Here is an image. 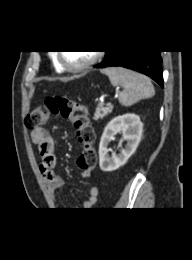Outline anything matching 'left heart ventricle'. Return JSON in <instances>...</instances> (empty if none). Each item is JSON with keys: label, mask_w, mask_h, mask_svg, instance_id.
Here are the masks:
<instances>
[{"label": "left heart ventricle", "mask_w": 192, "mask_h": 260, "mask_svg": "<svg viewBox=\"0 0 192 260\" xmlns=\"http://www.w3.org/2000/svg\"><path fill=\"white\" fill-rule=\"evenodd\" d=\"M93 54L91 51H66L63 57L69 65L77 66L89 60Z\"/></svg>", "instance_id": "obj_1"}]
</instances>
